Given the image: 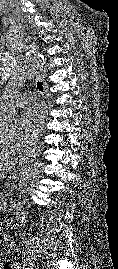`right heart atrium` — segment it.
<instances>
[{
  "label": "right heart atrium",
  "instance_id": "1",
  "mask_svg": "<svg viewBox=\"0 0 118 269\" xmlns=\"http://www.w3.org/2000/svg\"><path fill=\"white\" fill-rule=\"evenodd\" d=\"M0 142L8 147L21 149L28 144V137L21 128L17 126H2L0 127Z\"/></svg>",
  "mask_w": 118,
  "mask_h": 269
}]
</instances>
